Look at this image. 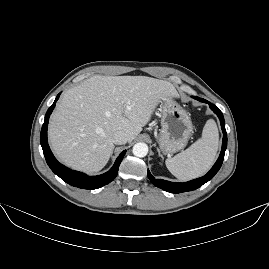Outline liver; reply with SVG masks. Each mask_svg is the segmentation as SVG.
Here are the masks:
<instances>
[{
    "instance_id": "obj_1",
    "label": "liver",
    "mask_w": 269,
    "mask_h": 269,
    "mask_svg": "<svg viewBox=\"0 0 269 269\" xmlns=\"http://www.w3.org/2000/svg\"><path fill=\"white\" fill-rule=\"evenodd\" d=\"M172 96L179 94L168 81L95 75L64 93L48 127L52 150L66 166L96 173L111 156L113 133L122 130L132 142L158 101Z\"/></svg>"
}]
</instances>
